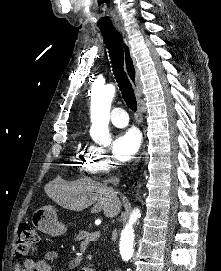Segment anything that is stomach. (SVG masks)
<instances>
[{"mask_svg":"<svg viewBox=\"0 0 221 271\" xmlns=\"http://www.w3.org/2000/svg\"><path fill=\"white\" fill-rule=\"evenodd\" d=\"M32 223L34 227L49 235H60L66 231L65 225L58 223L56 209L53 205H45V207L36 209L32 215Z\"/></svg>","mask_w":221,"mask_h":271,"instance_id":"1","label":"stomach"}]
</instances>
